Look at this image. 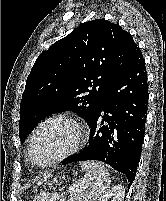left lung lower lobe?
I'll use <instances>...</instances> for the list:
<instances>
[{"label": "left lung lower lobe", "mask_w": 166, "mask_h": 201, "mask_svg": "<svg viewBox=\"0 0 166 201\" xmlns=\"http://www.w3.org/2000/svg\"><path fill=\"white\" fill-rule=\"evenodd\" d=\"M147 74L139 47L88 123V145L63 163L99 160L123 173L129 186L139 163L148 102ZM104 112V116L101 113ZM104 122L107 125H103Z\"/></svg>", "instance_id": "1"}]
</instances>
